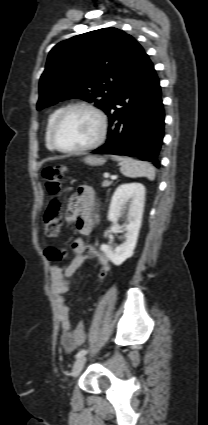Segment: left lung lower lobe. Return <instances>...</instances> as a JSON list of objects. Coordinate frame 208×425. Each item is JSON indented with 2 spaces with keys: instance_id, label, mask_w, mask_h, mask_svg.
<instances>
[{
  "instance_id": "left-lung-lower-lobe-1",
  "label": "left lung lower lobe",
  "mask_w": 208,
  "mask_h": 425,
  "mask_svg": "<svg viewBox=\"0 0 208 425\" xmlns=\"http://www.w3.org/2000/svg\"><path fill=\"white\" fill-rule=\"evenodd\" d=\"M105 113L107 141L92 153L137 157L159 168L165 115L159 79L148 56L117 90Z\"/></svg>"
}]
</instances>
